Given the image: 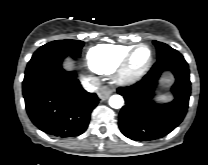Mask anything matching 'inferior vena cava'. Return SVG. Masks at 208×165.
Wrapping results in <instances>:
<instances>
[{
  "label": "inferior vena cava",
  "instance_id": "inferior-vena-cava-1",
  "mask_svg": "<svg viewBox=\"0 0 208 165\" xmlns=\"http://www.w3.org/2000/svg\"><path fill=\"white\" fill-rule=\"evenodd\" d=\"M82 85L88 92H94L98 89L100 82L96 78H85L82 82Z\"/></svg>",
  "mask_w": 208,
  "mask_h": 165
}]
</instances>
